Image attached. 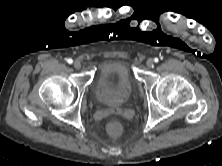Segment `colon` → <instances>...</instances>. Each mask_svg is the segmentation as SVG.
I'll return each mask as SVG.
<instances>
[{"mask_svg": "<svg viewBox=\"0 0 222 166\" xmlns=\"http://www.w3.org/2000/svg\"><path fill=\"white\" fill-rule=\"evenodd\" d=\"M107 132L113 137H118L123 132V125L118 120L111 121L107 126Z\"/></svg>", "mask_w": 222, "mask_h": 166, "instance_id": "obj_1", "label": "colon"}]
</instances>
